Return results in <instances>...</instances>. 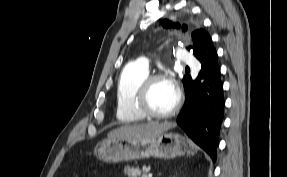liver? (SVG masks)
Returning a JSON list of instances; mask_svg holds the SVG:
<instances>
[{
  "instance_id": "6515ba94",
  "label": "liver",
  "mask_w": 287,
  "mask_h": 177,
  "mask_svg": "<svg viewBox=\"0 0 287 177\" xmlns=\"http://www.w3.org/2000/svg\"><path fill=\"white\" fill-rule=\"evenodd\" d=\"M175 127L171 122H149L146 124L125 125L108 133V138L140 139L155 136Z\"/></svg>"
}]
</instances>
